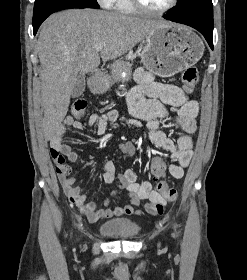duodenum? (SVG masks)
Segmentation results:
<instances>
[{"label":"duodenum","mask_w":247,"mask_h":280,"mask_svg":"<svg viewBox=\"0 0 247 280\" xmlns=\"http://www.w3.org/2000/svg\"><path fill=\"white\" fill-rule=\"evenodd\" d=\"M102 78H103V73L100 70H96L90 82V86L93 90L100 89Z\"/></svg>","instance_id":"410a0bca"}]
</instances>
